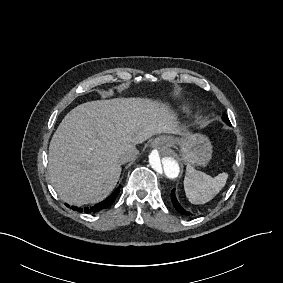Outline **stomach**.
I'll return each mask as SVG.
<instances>
[{
	"label": "stomach",
	"instance_id": "obj_1",
	"mask_svg": "<svg viewBox=\"0 0 283 283\" xmlns=\"http://www.w3.org/2000/svg\"><path fill=\"white\" fill-rule=\"evenodd\" d=\"M170 146L179 147L180 156L186 164L205 166L212 158V144L209 138L199 133L185 134L182 137L168 136L165 145L159 149H166Z\"/></svg>",
	"mask_w": 283,
	"mask_h": 283
}]
</instances>
